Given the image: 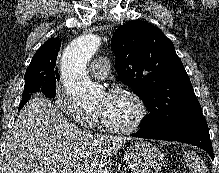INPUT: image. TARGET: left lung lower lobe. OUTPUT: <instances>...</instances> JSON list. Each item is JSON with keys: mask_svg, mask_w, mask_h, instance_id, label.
Segmentation results:
<instances>
[{"mask_svg": "<svg viewBox=\"0 0 219 173\" xmlns=\"http://www.w3.org/2000/svg\"><path fill=\"white\" fill-rule=\"evenodd\" d=\"M130 136L190 143L202 148L214 158L208 125L203 117L188 119L159 133L138 131Z\"/></svg>", "mask_w": 219, "mask_h": 173, "instance_id": "0a47b994", "label": "left lung lower lobe"}]
</instances>
